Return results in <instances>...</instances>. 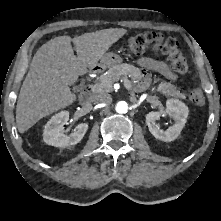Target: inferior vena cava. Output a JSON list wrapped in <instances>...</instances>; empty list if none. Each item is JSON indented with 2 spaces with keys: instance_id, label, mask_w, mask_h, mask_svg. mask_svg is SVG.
I'll return each instance as SVG.
<instances>
[{
  "instance_id": "602c4592",
  "label": "inferior vena cava",
  "mask_w": 221,
  "mask_h": 221,
  "mask_svg": "<svg viewBox=\"0 0 221 221\" xmlns=\"http://www.w3.org/2000/svg\"><path fill=\"white\" fill-rule=\"evenodd\" d=\"M94 104H110L112 102L111 95L102 93L95 95L92 99Z\"/></svg>"
}]
</instances>
